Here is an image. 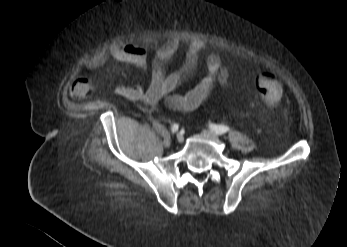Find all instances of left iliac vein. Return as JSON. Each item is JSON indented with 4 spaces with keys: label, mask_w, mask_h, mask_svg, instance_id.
I'll use <instances>...</instances> for the list:
<instances>
[{
    "label": "left iliac vein",
    "mask_w": 347,
    "mask_h": 247,
    "mask_svg": "<svg viewBox=\"0 0 347 247\" xmlns=\"http://www.w3.org/2000/svg\"><path fill=\"white\" fill-rule=\"evenodd\" d=\"M202 134L204 136H209V137H212V138H217L218 137V135L216 133H214L212 131H209V130H203Z\"/></svg>",
    "instance_id": "1"
}]
</instances>
